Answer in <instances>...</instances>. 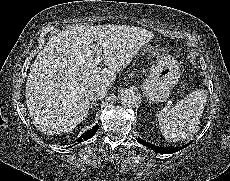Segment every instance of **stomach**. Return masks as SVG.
Segmentation results:
<instances>
[{
	"instance_id": "0dacf381",
	"label": "stomach",
	"mask_w": 230,
	"mask_h": 181,
	"mask_svg": "<svg viewBox=\"0 0 230 181\" xmlns=\"http://www.w3.org/2000/svg\"><path fill=\"white\" fill-rule=\"evenodd\" d=\"M179 67L169 55L160 56L148 78L141 84V90L151 103L166 101L173 85L178 81Z\"/></svg>"
}]
</instances>
